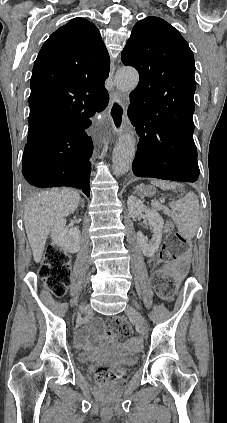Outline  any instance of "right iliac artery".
Wrapping results in <instances>:
<instances>
[{"label":"right iliac artery","instance_id":"right-iliac-artery-1","mask_svg":"<svg viewBox=\"0 0 227 423\" xmlns=\"http://www.w3.org/2000/svg\"><path fill=\"white\" fill-rule=\"evenodd\" d=\"M85 318L87 319L88 317L86 316ZM83 321L85 322L86 320L84 319Z\"/></svg>","mask_w":227,"mask_h":423}]
</instances>
